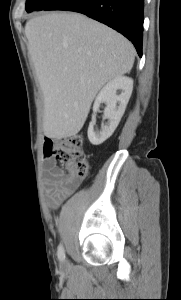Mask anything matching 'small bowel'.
Returning a JSON list of instances; mask_svg holds the SVG:
<instances>
[{
  "label": "small bowel",
  "mask_w": 181,
  "mask_h": 300,
  "mask_svg": "<svg viewBox=\"0 0 181 300\" xmlns=\"http://www.w3.org/2000/svg\"><path fill=\"white\" fill-rule=\"evenodd\" d=\"M81 179L72 178L62 168L50 163L46 168L44 188L54 205L60 204L80 185Z\"/></svg>",
  "instance_id": "c3829d8e"
}]
</instances>
